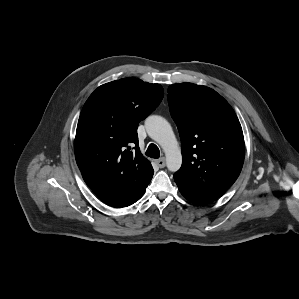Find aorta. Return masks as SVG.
<instances>
[{"instance_id": "obj_1", "label": "aorta", "mask_w": 299, "mask_h": 299, "mask_svg": "<svg viewBox=\"0 0 299 299\" xmlns=\"http://www.w3.org/2000/svg\"><path fill=\"white\" fill-rule=\"evenodd\" d=\"M145 127L149 137L165 152L168 170H179L182 164L181 150L169 122L161 116L151 115L145 120Z\"/></svg>"}]
</instances>
